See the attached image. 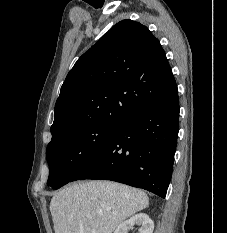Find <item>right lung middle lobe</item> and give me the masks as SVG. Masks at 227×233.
I'll list each match as a JSON object with an SVG mask.
<instances>
[{
	"instance_id": "1",
	"label": "right lung middle lobe",
	"mask_w": 227,
	"mask_h": 233,
	"mask_svg": "<svg viewBox=\"0 0 227 233\" xmlns=\"http://www.w3.org/2000/svg\"><path fill=\"white\" fill-rule=\"evenodd\" d=\"M119 125L112 123L82 125L52 137L46 150L50 168L47 185L58 189L69 183L106 144Z\"/></svg>"
}]
</instances>
